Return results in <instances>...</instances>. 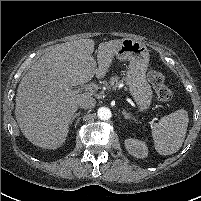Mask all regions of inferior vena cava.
Wrapping results in <instances>:
<instances>
[{"label":"inferior vena cava","mask_w":201,"mask_h":201,"mask_svg":"<svg viewBox=\"0 0 201 201\" xmlns=\"http://www.w3.org/2000/svg\"><path fill=\"white\" fill-rule=\"evenodd\" d=\"M96 100L93 97H82L78 102V106L82 109H89L95 106Z\"/></svg>","instance_id":"obj_1"}]
</instances>
